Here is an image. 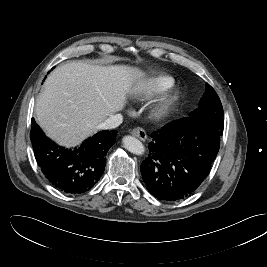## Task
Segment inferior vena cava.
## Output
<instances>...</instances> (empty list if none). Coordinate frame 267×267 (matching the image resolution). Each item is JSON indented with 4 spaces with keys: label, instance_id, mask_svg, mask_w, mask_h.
Returning <instances> with one entry per match:
<instances>
[{
    "label": "inferior vena cava",
    "instance_id": "602c4592",
    "mask_svg": "<svg viewBox=\"0 0 267 267\" xmlns=\"http://www.w3.org/2000/svg\"><path fill=\"white\" fill-rule=\"evenodd\" d=\"M123 121L121 114H115L108 117L103 123L99 124V129L109 130L118 127Z\"/></svg>",
    "mask_w": 267,
    "mask_h": 267
}]
</instances>
